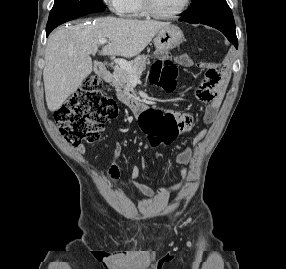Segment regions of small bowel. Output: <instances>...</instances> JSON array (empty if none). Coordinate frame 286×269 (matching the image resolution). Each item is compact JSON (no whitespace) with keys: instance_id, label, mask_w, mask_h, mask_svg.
<instances>
[{"instance_id":"1","label":"small bowel","mask_w":286,"mask_h":269,"mask_svg":"<svg viewBox=\"0 0 286 269\" xmlns=\"http://www.w3.org/2000/svg\"><path fill=\"white\" fill-rule=\"evenodd\" d=\"M176 62L180 66L190 67L194 65V60L189 54H181L176 57ZM214 66L217 67L218 64L213 63ZM198 66L205 70L211 66L208 62H200ZM219 80L216 83V88H205V85L202 83L196 90V94L198 98L206 103V109L204 114V121L206 124H213L217 118L219 108L221 106L224 92L227 86V83L230 79V67L225 62L222 64V70H218ZM115 93H128V88H115ZM120 99H132V94H120ZM164 113L168 112L167 108L163 109ZM173 120L176 121V126L179 129L180 134L183 132L189 131L194 122V115L190 112L178 113L170 111ZM140 119V111H133L132 120ZM208 134L207 129H202L196 136L195 142H199L203 138H205ZM80 150L83 152L84 148L80 147ZM122 155V146L117 144L113 151V161L108 169V177L112 182H116L121 174V164L120 158ZM192 159V153L189 148L183 150L176 156V163L181 165L180 168V176L181 179L179 182L170 185L161 187L159 189L160 194H170L179 191L183 186L188 176V170L185 167ZM140 174V170L138 167L134 166L129 170L130 181L128 185H135L137 190L144 196L151 197L153 195V190L145 183L137 181Z\"/></svg>"}]
</instances>
